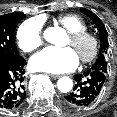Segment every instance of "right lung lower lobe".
<instances>
[{"label": "right lung lower lobe", "mask_w": 117, "mask_h": 117, "mask_svg": "<svg viewBox=\"0 0 117 117\" xmlns=\"http://www.w3.org/2000/svg\"><path fill=\"white\" fill-rule=\"evenodd\" d=\"M22 57L0 58V109H15L26 97L24 66Z\"/></svg>", "instance_id": "1"}]
</instances>
